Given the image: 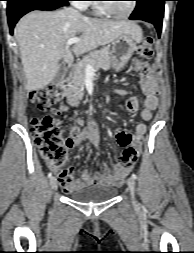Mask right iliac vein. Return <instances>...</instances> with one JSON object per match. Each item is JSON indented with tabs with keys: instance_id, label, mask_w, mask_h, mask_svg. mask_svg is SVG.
I'll list each match as a JSON object with an SVG mask.
<instances>
[{
	"instance_id": "63e3f726",
	"label": "right iliac vein",
	"mask_w": 194,
	"mask_h": 253,
	"mask_svg": "<svg viewBox=\"0 0 194 253\" xmlns=\"http://www.w3.org/2000/svg\"><path fill=\"white\" fill-rule=\"evenodd\" d=\"M50 186H51V188L54 189V190L57 188V181H56V178L52 177V178L50 179Z\"/></svg>"
}]
</instances>
